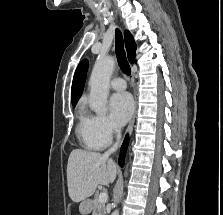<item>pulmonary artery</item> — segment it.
Segmentation results:
<instances>
[{
	"mask_svg": "<svg viewBox=\"0 0 223 215\" xmlns=\"http://www.w3.org/2000/svg\"><path fill=\"white\" fill-rule=\"evenodd\" d=\"M109 85L114 90H123L127 86L125 80L120 77L113 78L110 81Z\"/></svg>",
	"mask_w": 223,
	"mask_h": 215,
	"instance_id": "e3ab8cb5",
	"label": "pulmonary artery"
}]
</instances>
